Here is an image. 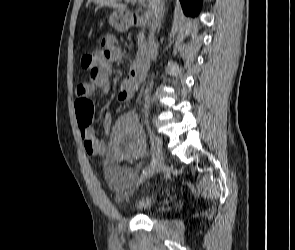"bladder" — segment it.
Masks as SVG:
<instances>
[{
  "mask_svg": "<svg viewBox=\"0 0 295 250\" xmlns=\"http://www.w3.org/2000/svg\"><path fill=\"white\" fill-rule=\"evenodd\" d=\"M160 203V198L153 194H137L127 203L126 207L137 213H150L154 211Z\"/></svg>",
  "mask_w": 295,
  "mask_h": 250,
  "instance_id": "1",
  "label": "bladder"
}]
</instances>
